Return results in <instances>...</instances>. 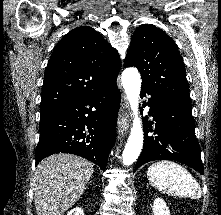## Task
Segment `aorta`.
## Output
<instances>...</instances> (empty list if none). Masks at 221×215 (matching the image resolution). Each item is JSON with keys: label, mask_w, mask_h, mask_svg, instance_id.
Instances as JSON below:
<instances>
[{"label": "aorta", "mask_w": 221, "mask_h": 215, "mask_svg": "<svg viewBox=\"0 0 221 215\" xmlns=\"http://www.w3.org/2000/svg\"><path fill=\"white\" fill-rule=\"evenodd\" d=\"M121 78L134 117L131 132L122 154V162L128 166L136 161L143 146V129L138 109L141 77L136 68L129 67L123 71Z\"/></svg>", "instance_id": "762f6f07"}]
</instances>
